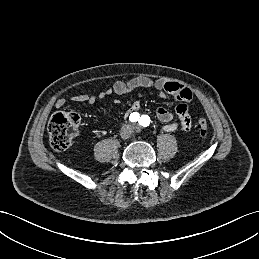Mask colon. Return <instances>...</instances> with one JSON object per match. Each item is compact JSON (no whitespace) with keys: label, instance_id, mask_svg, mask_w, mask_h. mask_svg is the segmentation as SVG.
<instances>
[{"label":"colon","instance_id":"obj_1","mask_svg":"<svg viewBox=\"0 0 259 259\" xmlns=\"http://www.w3.org/2000/svg\"><path fill=\"white\" fill-rule=\"evenodd\" d=\"M79 124L80 118L77 114L56 113L52 116L48 124L51 146L58 151L69 148ZM197 127L201 134H206L208 130L207 120L199 119Z\"/></svg>","mask_w":259,"mask_h":259}]
</instances>
